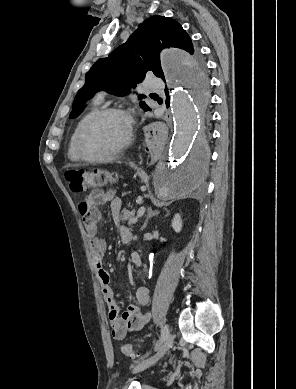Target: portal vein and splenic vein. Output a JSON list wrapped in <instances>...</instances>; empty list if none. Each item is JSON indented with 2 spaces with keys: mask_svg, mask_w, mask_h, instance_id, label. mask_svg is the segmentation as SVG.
<instances>
[{
  "mask_svg": "<svg viewBox=\"0 0 296 389\" xmlns=\"http://www.w3.org/2000/svg\"><path fill=\"white\" fill-rule=\"evenodd\" d=\"M144 213H145V207H140L137 212V217L143 216Z\"/></svg>",
  "mask_w": 296,
  "mask_h": 389,
  "instance_id": "18ae733b",
  "label": "portal vein and splenic vein"
}]
</instances>
